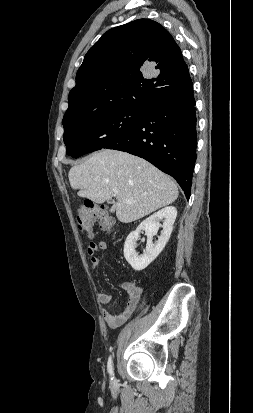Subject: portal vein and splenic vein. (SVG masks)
I'll use <instances>...</instances> for the list:
<instances>
[{"label": "portal vein and splenic vein", "instance_id": "portal-vein-and-splenic-vein-1", "mask_svg": "<svg viewBox=\"0 0 253 413\" xmlns=\"http://www.w3.org/2000/svg\"><path fill=\"white\" fill-rule=\"evenodd\" d=\"M113 191H114L115 194L118 193V189H114ZM126 202L127 203H134V201H132V200H126Z\"/></svg>", "mask_w": 253, "mask_h": 413}]
</instances>
